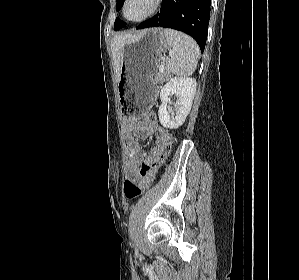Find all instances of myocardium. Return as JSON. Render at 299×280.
Masks as SVG:
<instances>
[{
    "label": "myocardium",
    "mask_w": 299,
    "mask_h": 280,
    "mask_svg": "<svg viewBox=\"0 0 299 280\" xmlns=\"http://www.w3.org/2000/svg\"><path fill=\"white\" fill-rule=\"evenodd\" d=\"M129 1L130 0H125L124 1L123 7H122V13H123L124 18L127 21H130L132 23H141V22H144V21L150 19L151 17H153L158 12V10L160 9L161 4H162V0H152L151 1V7H150L149 11L146 14H144L143 16H141L140 18H137V19H130L126 14V8H127V5L129 3Z\"/></svg>",
    "instance_id": "f54148a6"
}]
</instances>
